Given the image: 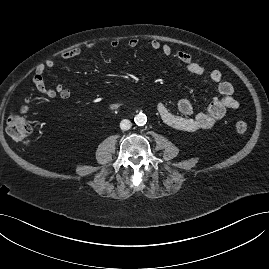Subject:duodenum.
Returning <instances> with one entry per match:
<instances>
[{
	"label": "duodenum",
	"mask_w": 269,
	"mask_h": 269,
	"mask_svg": "<svg viewBox=\"0 0 269 269\" xmlns=\"http://www.w3.org/2000/svg\"><path fill=\"white\" fill-rule=\"evenodd\" d=\"M116 107H117V105H116V104H113V105H112V108H113V109H114V108H116Z\"/></svg>",
	"instance_id": "obj_1"
}]
</instances>
